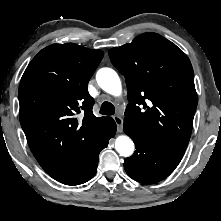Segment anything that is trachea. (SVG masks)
<instances>
[{
	"instance_id": "3493384b",
	"label": "trachea",
	"mask_w": 221,
	"mask_h": 221,
	"mask_svg": "<svg viewBox=\"0 0 221 221\" xmlns=\"http://www.w3.org/2000/svg\"><path fill=\"white\" fill-rule=\"evenodd\" d=\"M114 113H115V108L112 103L106 101L101 105L100 114L114 115Z\"/></svg>"
}]
</instances>
